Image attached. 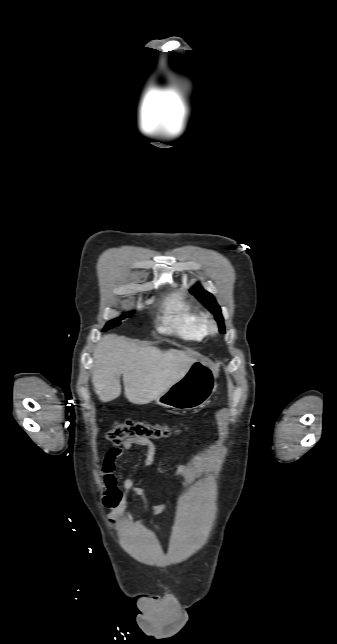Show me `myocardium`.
<instances>
[{
    "label": "myocardium",
    "mask_w": 337,
    "mask_h": 644,
    "mask_svg": "<svg viewBox=\"0 0 337 644\" xmlns=\"http://www.w3.org/2000/svg\"><path fill=\"white\" fill-rule=\"evenodd\" d=\"M206 331L209 334H214L217 332V324L214 320H208L206 322Z\"/></svg>",
    "instance_id": "1"
}]
</instances>
